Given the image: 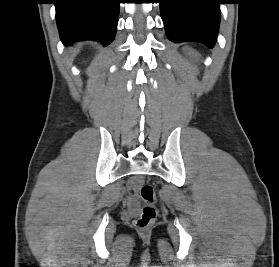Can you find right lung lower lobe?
<instances>
[{"label": "right lung lower lobe", "mask_w": 279, "mask_h": 267, "mask_svg": "<svg viewBox=\"0 0 279 267\" xmlns=\"http://www.w3.org/2000/svg\"><path fill=\"white\" fill-rule=\"evenodd\" d=\"M64 45L83 39L110 44L115 37L119 0H54Z\"/></svg>", "instance_id": "98d812e1"}]
</instances>
